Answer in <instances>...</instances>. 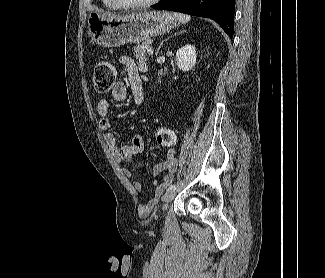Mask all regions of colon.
Masks as SVG:
<instances>
[{
	"instance_id": "obj_1",
	"label": "colon",
	"mask_w": 325,
	"mask_h": 278,
	"mask_svg": "<svg viewBox=\"0 0 325 278\" xmlns=\"http://www.w3.org/2000/svg\"><path fill=\"white\" fill-rule=\"evenodd\" d=\"M115 69L108 61H99L94 67L92 84L96 92L104 94L109 92L115 84ZM157 141L164 146H172L175 143V135L172 129L168 127H159L156 130ZM149 205L142 208V213L146 214Z\"/></svg>"
}]
</instances>
